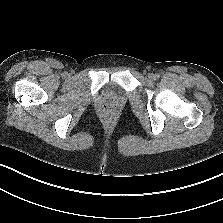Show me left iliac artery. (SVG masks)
<instances>
[{
    "label": "left iliac artery",
    "mask_w": 223,
    "mask_h": 223,
    "mask_svg": "<svg viewBox=\"0 0 223 223\" xmlns=\"http://www.w3.org/2000/svg\"><path fill=\"white\" fill-rule=\"evenodd\" d=\"M160 77L159 74H155V79H158Z\"/></svg>",
    "instance_id": "44dca946"
}]
</instances>
